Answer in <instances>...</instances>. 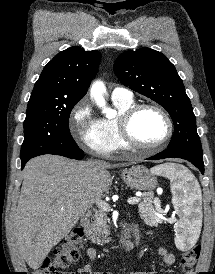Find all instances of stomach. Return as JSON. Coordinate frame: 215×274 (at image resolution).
Wrapping results in <instances>:
<instances>
[{"instance_id":"1","label":"stomach","mask_w":215,"mask_h":274,"mask_svg":"<svg viewBox=\"0 0 215 274\" xmlns=\"http://www.w3.org/2000/svg\"><path fill=\"white\" fill-rule=\"evenodd\" d=\"M121 178L128 186L140 191H151L157 185L156 176L142 165L124 170Z\"/></svg>"}]
</instances>
